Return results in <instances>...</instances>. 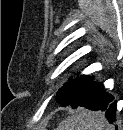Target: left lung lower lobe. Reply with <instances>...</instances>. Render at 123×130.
Here are the masks:
<instances>
[{"label": "left lung lower lobe", "mask_w": 123, "mask_h": 130, "mask_svg": "<svg viewBox=\"0 0 123 130\" xmlns=\"http://www.w3.org/2000/svg\"><path fill=\"white\" fill-rule=\"evenodd\" d=\"M93 79L89 77L79 102L73 108L81 106L90 110L103 111L108 121L113 123L116 121L117 103L112 95L104 91L102 83H96Z\"/></svg>", "instance_id": "1"}]
</instances>
